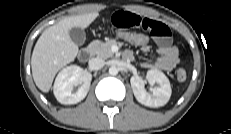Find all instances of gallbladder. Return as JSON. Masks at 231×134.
I'll list each match as a JSON object with an SVG mask.
<instances>
[{
  "instance_id": "gallbladder-1",
  "label": "gallbladder",
  "mask_w": 231,
  "mask_h": 134,
  "mask_svg": "<svg viewBox=\"0 0 231 134\" xmlns=\"http://www.w3.org/2000/svg\"><path fill=\"white\" fill-rule=\"evenodd\" d=\"M71 40L78 46L84 44L86 35L83 29L79 27H73L69 30Z\"/></svg>"
}]
</instances>
